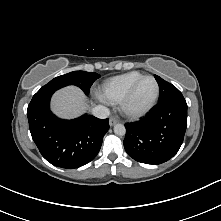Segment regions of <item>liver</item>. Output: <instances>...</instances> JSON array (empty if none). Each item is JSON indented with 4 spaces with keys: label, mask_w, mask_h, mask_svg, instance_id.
Returning <instances> with one entry per match:
<instances>
[{
    "label": "liver",
    "mask_w": 221,
    "mask_h": 221,
    "mask_svg": "<svg viewBox=\"0 0 221 221\" xmlns=\"http://www.w3.org/2000/svg\"><path fill=\"white\" fill-rule=\"evenodd\" d=\"M87 108L84 93L74 86H68L57 91L51 101L53 113L64 119L77 117Z\"/></svg>",
    "instance_id": "1"
}]
</instances>
